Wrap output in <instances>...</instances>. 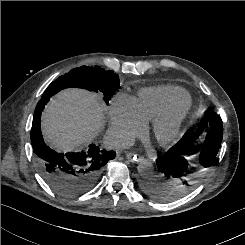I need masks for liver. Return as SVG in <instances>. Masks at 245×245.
<instances>
[{
	"label": "liver",
	"mask_w": 245,
	"mask_h": 245,
	"mask_svg": "<svg viewBox=\"0 0 245 245\" xmlns=\"http://www.w3.org/2000/svg\"><path fill=\"white\" fill-rule=\"evenodd\" d=\"M104 106L97 96L67 89L51 99L42 115L45 141L59 151H72L91 142L102 128Z\"/></svg>",
	"instance_id": "6515ba94"
}]
</instances>
